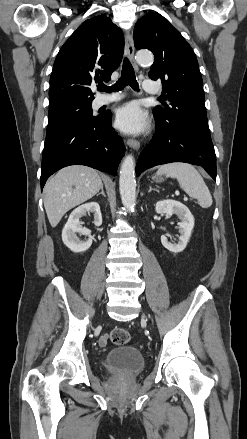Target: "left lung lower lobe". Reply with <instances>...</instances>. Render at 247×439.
I'll return each instance as SVG.
<instances>
[{
	"label": "left lung lower lobe",
	"mask_w": 247,
	"mask_h": 439,
	"mask_svg": "<svg viewBox=\"0 0 247 439\" xmlns=\"http://www.w3.org/2000/svg\"><path fill=\"white\" fill-rule=\"evenodd\" d=\"M171 162L202 166L216 180V155L210 132L189 123L160 125L156 122V134L138 158L136 175L156 165Z\"/></svg>",
	"instance_id": "obj_1"
}]
</instances>
